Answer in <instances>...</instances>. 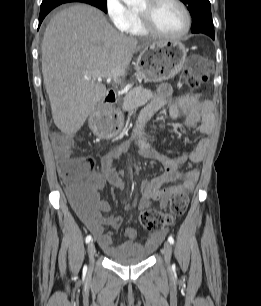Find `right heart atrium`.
Here are the masks:
<instances>
[{
  "label": "right heart atrium",
  "mask_w": 261,
  "mask_h": 306,
  "mask_svg": "<svg viewBox=\"0 0 261 306\" xmlns=\"http://www.w3.org/2000/svg\"><path fill=\"white\" fill-rule=\"evenodd\" d=\"M105 8L113 26L119 31H126L131 21V11L123 0H105Z\"/></svg>",
  "instance_id": "obj_1"
}]
</instances>
